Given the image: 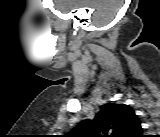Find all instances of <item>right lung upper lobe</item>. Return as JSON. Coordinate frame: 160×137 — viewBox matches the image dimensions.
<instances>
[{
  "label": "right lung upper lobe",
  "mask_w": 160,
  "mask_h": 137,
  "mask_svg": "<svg viewBox=\"0 0 160 137\" xmlns=\"http://www.w3.org/2000/svg\"><path fill=\"white\" fill-rule=\"evenodd\" d=\"M142 131L132 108L108 103L101 107L93 120H83L71 132L79 137H139Z\"/></svg>",
  "instance_id": "1"
}]
</instances>
